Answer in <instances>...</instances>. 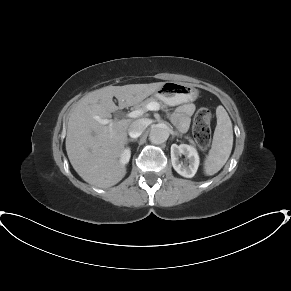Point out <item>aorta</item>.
<instances>
[{
	"mask_svg": "<svg viewBox=\"0 0 291 291\" xmlns=\"http://www.w3.org/2000/svg\"><path fill=\"white\" fill-rule=\"evenodd\" d=\"M170 135V129L165 124H156L150 131L149 140L153 144H162L167 141Z\"/></svg>",
	"mask_w": 291,
	"mask_h": 291,
	"instance_id": "obj_1",
	"label": "aorta"
}]
</instances>
